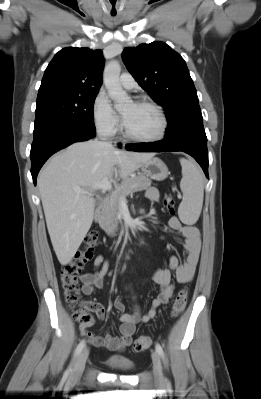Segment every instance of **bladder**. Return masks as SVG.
Masks as SVG:
<instances>
[{"instance_id":"31cf9c89","label":"bladder","mask_w":261,"mask_h":399,"mask_svg":"<svg viewBox=\"0 0 261 399\" xmlns=\"http://www.w3.org/2000/svg\"><path fill=\"white\" fill-rule=\"evenodd\" d=\"M104 363L111 369L120 371H130L134 368V363L128 359L116 356H109Z\"/></svg>"}]
</instances>
